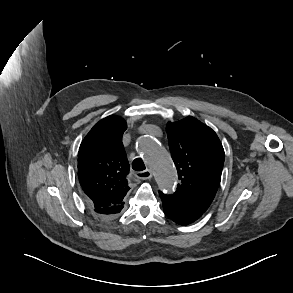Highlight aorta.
<instances>
[{"label": "aorta", "instance_id": "1", "mask_svg": "<svg viewBox=\"0 0 293 293\" xmlns=\"http://www.w3.org/2000/svg\"><path fill=\"white\" fill-rule=\"evenodd\" d=\"M139 151L155 172L159 188L172 193L176 183V169L168 152L152 137L143 136L139 140Z\"/></svg>", "mask_w": 293, "mask_h": 293}]
</instances>
